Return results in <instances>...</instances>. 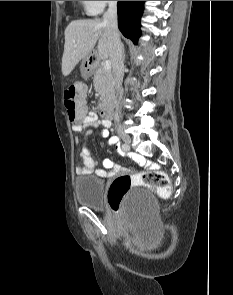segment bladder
I'll list each match as a JSON object with an SVG mask.
<instances>
[{
  "label": "bladder",
  "instance_id": "bladder-1",
  "mask_svg": "<svg viewBox=\"0 0 233 295\" xmlns=\"http://www.w3.org/2000/svg\"><path fill=\"white\" fill-rule=\"evenodd\" d=\"M77 201L94 210L105 208V184L93 176H79L75 180ZM159 205L155 196L147 189L139 190L134 198L125 207V212L141 221H153L158 214Z\"/></svg>",
  "mask_w": 233,
  "mask_h": 295
}]
</instances>
